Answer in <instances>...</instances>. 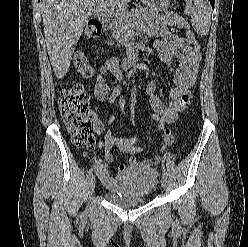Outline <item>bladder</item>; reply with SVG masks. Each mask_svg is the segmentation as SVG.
I'll return each mask as SVG.
<instances>
[{
    "instance_id": "31cf9c89",
    "label": "bladder",
    "mask_w": 248,
    "mask_h": 247,
    "mask_svg": "<svg viewBox=\"0 0 248 247\" xmlns=\"http://www.w3.org/2000/svg\"><path fill=\"white\" fill-rule=\"evenodd\" d=\"M115 191L106 193L107 199L121 207L142 205L157 186L155 172L147 167H129L115 180Z\"/></svg>"
}]
</instances>
